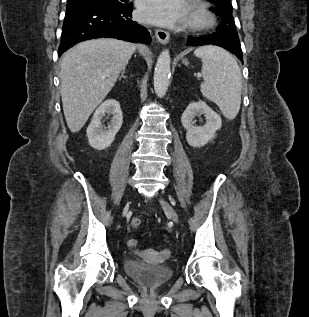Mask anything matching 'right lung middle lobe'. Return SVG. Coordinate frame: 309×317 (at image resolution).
Wrapping results in <instances>:
<instances>
[{
    "label": "right lung middle lobe",
    "mask_w": 309,
    "mask_h": 317,
    "mask_svg": "<svg viewBox=\"0 0 309 317\" xmlns=\"http://www.w3.org/2000/svg\"><path fill=\"white\" fill-rule=\"evenodd\" d=\"M75 1L88 2V3H94V4L105 5L110 7H117V8H121L122 6H124V4L120 3L118 0H75Z\"/></svg>",
    "instance_id": "1"
}]
</instances>
